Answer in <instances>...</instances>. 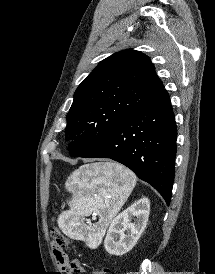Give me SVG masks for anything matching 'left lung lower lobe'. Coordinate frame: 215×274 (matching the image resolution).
<instances>
[{"instance_id": "obj_1", "label": "left lung lower lobe", "mask_w": 215, "mask_h": 274, "mask_svg": "<svg viewBox=\"0 0 215 274\" xmlns=\"http://www.w3.org/2000/svg\"><path fill=\"white\" fill-rule=\"evenodd\" d=\"M177 128L168 93L123 119L81 157L110 158L151 184L170 204Z\"/></svg>"}]
</instances>
